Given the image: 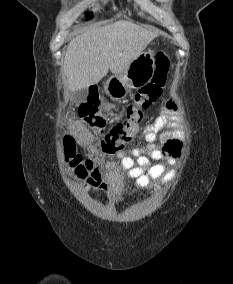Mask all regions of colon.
<instances>
[{
  "label": "colon",
  "mask_w": 233,
  "mask_h": 284,
  "mask_svg": "<svg viewBox=\"0 0 233 284\" xmlns=\"http://www.w3.org/2000/svg\"><path fill=\"white\" fill-rule=\"evenodd\" d=\"M170 68V59L166 52L158 51L154 55V70L151 79L134 95L126 109V118L117 122L104 132L106 121L101 114V102L97 96H90L79 107V115L92 129L95 135L102 136L101 148L104 153L120 151L139 131L144 112L155 103L166 83ZM66 159L78 178H86L92 169V162L85 160L76 152L75 139L64 137Z\"/></svg>",
  "instance_id": "1"
}]
</instances>
